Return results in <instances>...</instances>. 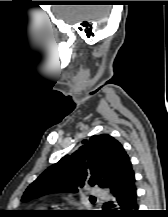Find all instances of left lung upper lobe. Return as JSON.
<instances>
[{
    "instance_id": "1",
    "label": "left lung upper lobe",
    "mask_w": 168,
    "mask_h": 217,
    "mask_svg": "<svg viewBox=\"0 0 168 217\" xmlns=\"http://www.w3.org/2000/svg\"><path fill=\"white\" fill-rule=\"evenodd\" d=\"M130 171V158L122 145L107 134L94 135L45 170L28 186L22 201L48 193L77 192L84 185L111 191L126 181Z\"/></svg>"
}]
</instances>
